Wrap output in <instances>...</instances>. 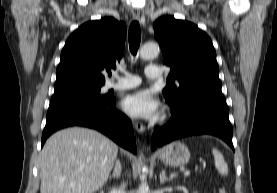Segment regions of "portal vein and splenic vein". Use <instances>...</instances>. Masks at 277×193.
<instances>
[{
  "mask_svg": "<svg viewBox=\"0 0 277 193\" xmlns=\"http://www.w3.org/2000/svg\"><path fill=\"white\" fill-rule=\"evenodd\" d=\"M189 175H190V171L189 170L184 172V176H189Z\"/></svg>",
  "mask_w": 277,
  "mask_h": 193,
  "instance_id": "1",
  "label": "portal vein and splenic vein"
}]
</instances>
